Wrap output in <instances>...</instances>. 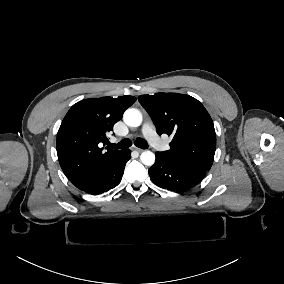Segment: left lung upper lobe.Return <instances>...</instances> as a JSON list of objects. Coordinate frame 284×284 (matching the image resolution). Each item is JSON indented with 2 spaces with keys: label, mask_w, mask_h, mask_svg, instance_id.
I'll list each match as a JSON object with an SVG mask.
<instances>
[{
  "label": "left lung upper lobe",
  "mask_w": 284,
  "mask_h": 284,
  "mask_svg": "<svg viewBox=\"0 0 284 284\" xmlns=\"http://www.w3.org/2000/svg\"><path fill=\"white\" fill-rule=\"evenodd\" d=\"M139 102L151 116L159 135L173 137L170 150L158 152L171 162L208 171L214 160L213 121L197 99L178 93L141 95Z\"/></svg>",
  "instance_id": "left-lung-upper-lobe-1"
}]
</instances>
